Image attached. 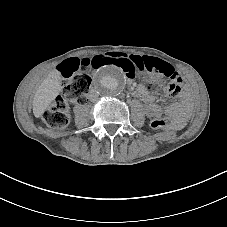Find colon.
Returning <instances> with one entry per match:
<instances>
[{
    "mask_svg": "<svg viewBox=\"0 0 227 227\" xmlns=\"http://www.w3.org/2000/svg\"><path fill=\"white\" fill-rule=\"evenodd\" d=\"M103 65H114L129 78L144 73L151 75L147 89L151 92L163 90L176 94L182 87V80L169 63L151 56H129L120 52L101 54L92 58H72L64 61L60 68L62 76L61 95L43 114V120L52 129H64L70 123L69 101L84 104L90 87L89 71ZM155 129H170L172 121L164 116L151 122Z\"/></svg>",
    "mask_w": 227,
    "mask_h": 227,
    "instance_id": "obj_1",
    "label": "colon"
}]
</instances>
